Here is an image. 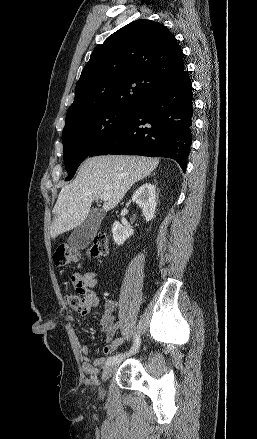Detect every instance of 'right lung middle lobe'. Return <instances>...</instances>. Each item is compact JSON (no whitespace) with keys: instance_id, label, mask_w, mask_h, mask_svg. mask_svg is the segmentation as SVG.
I'll list each match as a JSON object with an SVG mask.
<instances>
[{"instance_id":"dd1d6c3e","label":"right lung middle lobe","mask_w":257,"mask_h":439,"mask_svg":"<svg viewBox=\"0 0 257 439\" xmlns=\"http://www.w3.org/2000/svg\"><path fill=\"white\" fill-rule=\"evenodd\" d=\"M135 109L101 108L80 113L66 120L62 133L66 181L73 178L78 166L106 137L123 125Z\"/></svg>"}]
</instances>
